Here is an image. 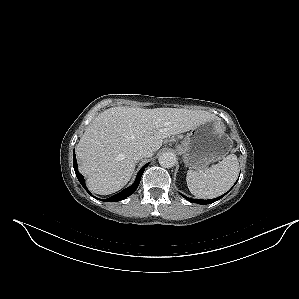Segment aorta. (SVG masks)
I'll list each match as a JSON object with an SVG mask.
<instances>
[{
    "instance_id": "1",
    "label": "aorta",
    "mask_w": 299,
    "mask_h": 299,
    "mask_svg": "<svg viewBox=\"0 0 299 299\" xmlns=\"http://www.w3.org/2000/svg\"><path fill=\"white\" fill-rule=\"evenodd\" d=\"M159 164L164 168H171L176 164V156L172 152H165L158 158Z\"/></svg>"
}]
</instances>
